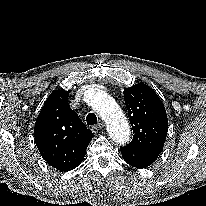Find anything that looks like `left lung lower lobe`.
Masks as SVG:
<instances>
[{
  "mask_svg": "<svg viewBox=\"0 0 206 206\" xmlns=\"http://www.w3.org/2000/svg\"><path fill=\"white\" fill-rule=\"evenodd\" d=\"M121 152L124 160L128 164L142 169L150 166L159 155L156 153L134 150L128 147L121 148Z\"/></svg>",
  "mask_w": 206,
  "mask_h": 206,
  "instance_id": "1",
  "label": "left lung lower lobe"
}]
</instances>
